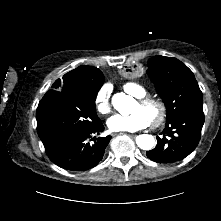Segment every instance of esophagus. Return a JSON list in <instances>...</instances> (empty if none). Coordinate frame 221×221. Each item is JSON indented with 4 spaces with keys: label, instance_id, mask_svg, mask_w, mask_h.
Here are the masks:
<instances>
[{
    "label": "esophagus",
    "instance_id": "1",
    "mask_svg": "<svg viewBox=\"0 0 221 221\" xmlns=\"http://www.w3.org/2000/svg\"><path fill=\"white\" fill-rule=\"evenodd\" d=\"M120 134H122V133H120ZM116 135H118V133H113L112 134V136H116ZM129 135L132 136V137L135 136V134H129Z\"/></svg>",
    "mask_w": 221,
    "mask_h": 221
}]
</instances>
